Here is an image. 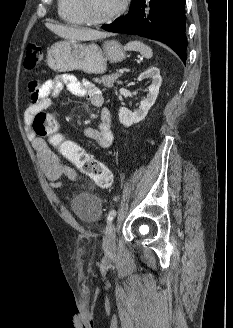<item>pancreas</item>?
I'll return each mask as SVG.
<instances>
[{"label":"pancreas","instance_id":"obj_1","mask_svg":"<svg viewBox=\"0 0 233 328\" xmlns=\"http://www.w3.org/2000/svg\"><path fill=\"white\" fill-rule=\"evenodd\" d=\"M119 77H121V73H115L102 76L101 78H94L93 81L99 84H103L107 88H112Z\"/></svg>","mask_w":233,"mask_h":328}]
</instances>
